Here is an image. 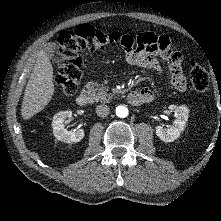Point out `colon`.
I'll return each mask as SVG.
<instances>
[{"label": "colon", "instance_id": "obj_1", "mask_svg": "<svg viewBox=\"0 0 221 221\" xmlns=\"http://www.w3.org/2000/svg\"><path fill=\"white\" fill-rule=\"evenodd\" d=\"M57 79L56 84L66 95H73L82 74V51H95L119 43L126 46L130 43L129 35L122 32H103L90 25H82L74 30L62 31L58 36ZM191 83L195 91L204 93L209 88L207 71L198 63H193L190 73Z\"/></svg>", "mask_w": 221, "mask_h": 221}]
</instances>
